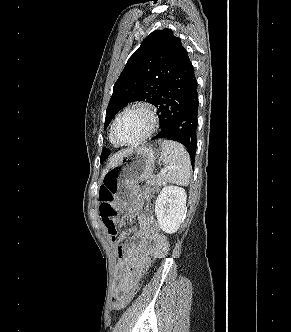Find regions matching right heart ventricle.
<instances>
[{"label":"right heart ventricle","mask_w":291,"mask_h":332,"mask_svg":"<svg viewBox=\"0 0 291 332\" xmlns=\"http://www.w3.org/2000/svg\"><path fill=\"white\" fill-rule=\"evenodd\" d=\"M110 141H111V143H112L113 145H115V146H118V145H119V144L114 140V138H113L112 130H111V133H110Z\"/></svg>","instance_id":"e07e8e85"}]
</instances>
